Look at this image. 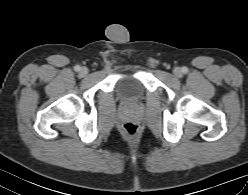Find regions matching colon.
Masks as SVG:
<instances>
[{
    "mask_svg": "<svg viewBox=\"0 0 248 195\" xmlns=\"http://www.w3.org/2000/svg\"><path fill=\"white\" fill-rule=\"evenodd\" d=\"M124 134L129 138H135L138 134V127L136 124L128 122L123 126Z\"/></svg>",
    "mask_w": 248,
    "mask_h": 195,
    "instance_id": "colon-1",
    "label": "colon"
}]
</instances>
